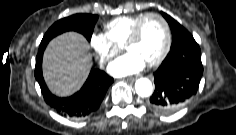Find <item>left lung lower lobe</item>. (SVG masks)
<instances>
[{
	"label": "left lung lower lobe",
	"instance_id": "left-lung-lower-lobe-1",
	"mask_svg": "<svg viewBox=\"0 0 236 135\" xmlns=\"http://www.w3.org/2000/svg\"><path fill=\"white\" fill-rule=\"evenodd\" d=\"M173 41L170 52L154 73L155 90L149 106L161 114H169L194 96L203 74L201 50L188 31L177 21L169 23Z\"/></svg>",
	"mask_w": 236,
	"mask_h": 135
}]
</instances>
